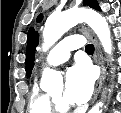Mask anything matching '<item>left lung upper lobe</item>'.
<instances>
[{
    "instance_id": "left-lung-upper-lobe-1",
    "label": "left lung upper lobe",
    "mask_w": 121,
    "mask_h": 113,
    "mask_svg": "<svg viewBox=\"0 0 121 113\" xmlns=\"http://www.w3.org/2000/svg\"><path fill=\"white\" fill-rule=\"evenodd\" d=\"M83 5H87L93 9L100 10V7L96 0H83ZM42 15H39L37 21L40 22ZM39 42L38 33L33 27L30 28L27 38V50H26V75L29 78L33 69L35 47Z\"/></svg>"
}]
</instances>
